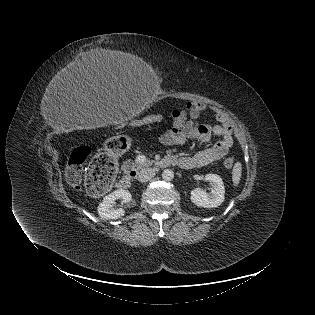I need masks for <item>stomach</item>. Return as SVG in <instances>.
Masks as SVG:
<instances>
[{"instance_id": "obj_1", "label": "stomach", "mask_w": 315, "mask_h": 315, "mask_svg": "<svg viewBox=\"0 0 315 315\" xmlns=\"http://www.w3.org/2000/svg\"><path fill=\"white\" fill-rule=\"evenodd\" d=\"M109 149L113 155L117 157H124L130 153L132 149V142L128 136L124 134H117L111 138L109 142Z\"/></svg>"}]
</instances>
